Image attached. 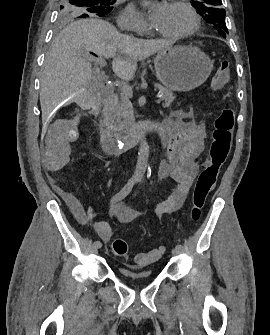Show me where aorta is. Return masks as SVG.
Segmentation results:
<instances>
[{"instance_id": "aorta-1", "label": "aorta", "mask_w": 270, "mask_h": 335, "mask_svg": "<svg viewBox=\"0 0 270 335\" xmlns=\"http://www.w3.org/2000/svg\"><path fill=\"white\" fill-rule=\"evenodd\" d=\"M148 158L149 146L148 142H146L145 138H143L140 142L136 168L132 175L133 179H136V181H141V179H143L148 164Z\"/></svg>"}]
</instances>
